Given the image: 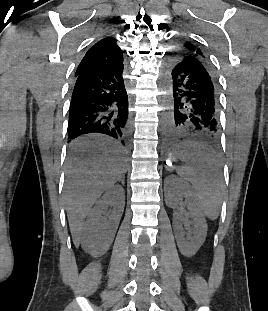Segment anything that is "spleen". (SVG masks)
Returning <instances> with one entry per match:
<instances>
[{
  "mask_svg": "<svg viewBox=\"0 0 268 311\" xmlns=\"http://www.w3.org/2000/svg\"><path fill=\"white\" fill-rule=\"evenodd\" d=\"M179 148L182 149L180 159L190 165L178 168L177 173L193 185L200 208L208 218L215 220L222 203V169L217 150L206 148L202 140L189 144V149L188 146Z\"/></svg>",
  "mask_w": 268,
  "mask_h": 311,
  "instance_id": "spleen-1",
  "label": "spleen"
}]
</instances>
